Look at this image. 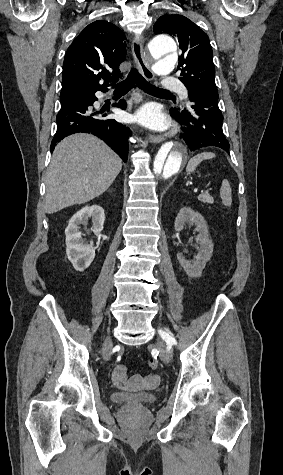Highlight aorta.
<instances>
[{
  "label": "aorta",
  "instance_id": "aorta-1",
  "mask_svg": "<svg viewBox=\"0 0 283 475\" xmlns=\"http://www.w3.org/2000/svg\"><path fill=\"white\" fill-rule=\"evenodd\" d=\"M149 50L156 61L154 70L158 75H168L177 61V45L167 35H159L149 43ZM188 150L182 142H166L158 150L149 172V186L153 190L161 188L182 169Z\"/></svg>",
  "mask_w": 283,
  "mask_h": 475
}]
</instances>
